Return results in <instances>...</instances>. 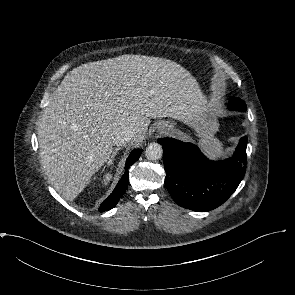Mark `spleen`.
<instances>
[{
	"label": "spleen",
	"mask_w": 295,
	"mask_h": 295,
	"mask_svg": "<svg viewBox=\"0 0 295 295\" xmlns=\"http://www.w3.org/2000/svg\"><path fill=\"white\" fill-rule=\"evenodd\" d=\"M200 146L212 158H221L224 156V147L222 142L212 135H205L199 140Z\"/></svg>",
	"instance_id": "1"
}]
</instances>
